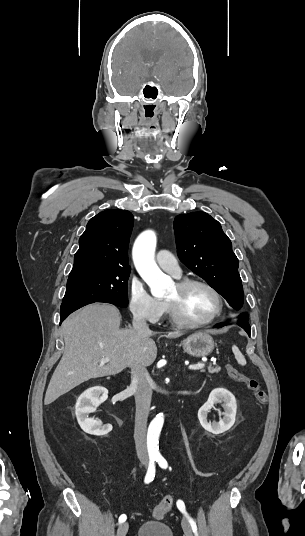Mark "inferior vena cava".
<instances>
[{"label":"inferior vena cava","instance_id":"1","mask_svg":"<svg viewBox=\"0 0 305 536\" xmlns=\"http://www.w3.org/2000/svg\"><path fill=\"white\" fill-rule=\"evenodd\" d=\"M132 326L133 330H136L139 334H150L151 332L145 318L137 314L136 310ZM131 376L132 380L129 390H132L136 404L134 428L135 448L138 458H147L146 430L152 396L150 386L151 378L146 368H131Z\"/></svg>","mask_w":305,"mask_h":536}]
</instances>
